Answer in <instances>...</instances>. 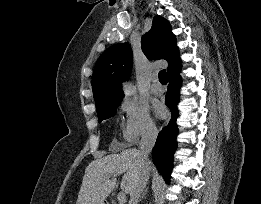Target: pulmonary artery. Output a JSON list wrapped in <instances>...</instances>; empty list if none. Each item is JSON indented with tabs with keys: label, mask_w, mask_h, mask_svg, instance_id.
<instances>
[{
	"label": "pulmonary artery",
	"mask_w": 261,
	"mask_h": 204,
	"mask_svg": "<svg viewBox=\"0 0 261 204\" xmlns=\"http://www.w3.org/2000/svg\"><path fill=\"white\" fill-rule=\"evenodd\" d=\"M151 91L156 95H160L164 92V88L159 83L158 78L156 76L152 78Z\"/></svg>",
	"instance_id": "pulmonary-artery-1"
}]
</instances>
